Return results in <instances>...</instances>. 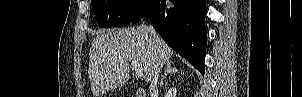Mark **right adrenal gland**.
Wrapping results in <instances>:
<instances>
[{
	"instance_id": "1",
	"label": "right adrenal gland",
	"mask_w": 302,
	"mask_h": 97,
	"mask_svg": "<svg viewBox=\"0 0 302 97\" xmlns=\"http://www.w3.org/2000/svg\"><path fill=\"white\" fill-rule=\"evenodd\" d=\"M178 71L177 67H172V64L171 63H167L166 65V68H165V73L160 81V87L163 86V83H164V80L166 79V77L169 75V74H173V73H176Z\"/></svg>"
}]
</instances>
